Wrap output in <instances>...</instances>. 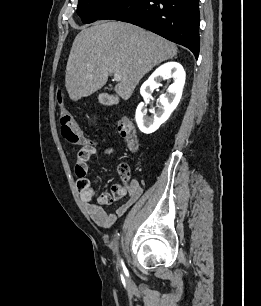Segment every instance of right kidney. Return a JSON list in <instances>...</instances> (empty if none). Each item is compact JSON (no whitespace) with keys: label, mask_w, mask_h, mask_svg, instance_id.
Returning <instances> with one entry per match:
<instances>
[{"label":"right kidney","mask_w":261,"mask_h":306,"mask_svg":"<svg viewBox=\"0 0 261 306\" xmlns=\"http://www.w3.org/2000/svg\"><path fill=\"white\" fill-rule=\"evenodd\" d=\"M185 71L177 62H168L157 68L154 73L149 77V79L142 85L140 93L144 99L136 109V123L139 129L145 133L150 134L155 132L161 124L168 120L171 113L176 109L180 102L182 91L185 83ZM159 78L163 79H173V83L168 89L167 95H161L159 102L161 107L153 117L146 116V106L149 97L151 96L153 90L160 86L158 82Z\"/></svg>","instance_id":"right-kidney-1"}]
</instances>
